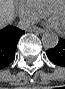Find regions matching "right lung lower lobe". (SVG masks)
Returning <instances> with one entry per match:
<instances>
[{
  "label": "right lung lower lobe",
  "mask_w": 65,
  "mask_h": 89,
  "mask_svg": "<svg viewBox=\"0 0 65 89\" xmlns=\"http://www.w3.org/2000/svg\"><path fill=\"white\" fill-rule=\"evenodd\" d=\"M25 30L14 26L0 29V70L8 66L15 57L18 40Z\"/></svg>",
  "instance_id": "right-lung-lower-lobe-1"
}]
</instances>
